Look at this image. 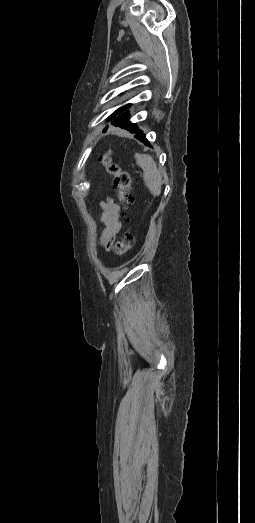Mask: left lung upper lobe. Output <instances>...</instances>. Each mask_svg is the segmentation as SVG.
Masks as SVG:
<instances>
[{"instance_id":"5c2ea615","label":"left lung upper lobe","mask_w":255,"mask_h":523,"mask_svg":"<svg viewBox=\"0 0 255 523\" xmlns=\"http://www.w3.org/2000/svg\"><path fill=\"white\" fill-rule=\"evenodd\" d=\"M131 106V104H128V105H125L119 109H117L110 117H109V120L112 119L116 114L120 113V112H123L124 110H126L127 108H129ZM114 126H118L120 128H123V129H126L128 130L129 132L131 133H136L135 135V138L136 137H140V134H142L141 130L139 128H137L136 124L134 123H131L129 121V116L128 114H124L122 117H119L118 119H116L113 123H112ZM107 130V127L105 128L104 132H106ZM144 130H151V127H144ZM141 142L143 140H140ZM151 146V145H149Z\"/></svg>"}]
</instances>
